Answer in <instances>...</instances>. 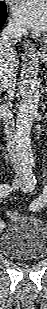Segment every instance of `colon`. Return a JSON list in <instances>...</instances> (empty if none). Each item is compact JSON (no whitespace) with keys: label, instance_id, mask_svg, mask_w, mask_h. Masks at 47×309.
<instances>
[{"label":"colon","instance_id":"colon-1","mask_svg":"<svg viewBox=\"0 0 47 309\" xmlns=\"http://www.w3.org/2000/svg\"><path fill=\"white\" fill-rule=\"evenodd\" d=\"M6 215H7L8 218L13 219V218H15L17 216V213L14 212V211L8 210L6 212Z\"/></svg>","mask_w":47,"mask_h":309}]
</instances>
